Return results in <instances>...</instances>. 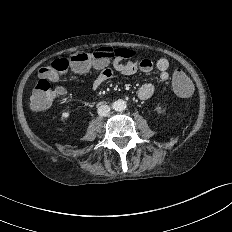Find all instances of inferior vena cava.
<instances>
[{
	"mask_svg": "<svg viewBox=\"0 0 232 232\" xmlns=\"http://www.w3.org/2000/svg\"><path fill=\"white\" fill-rule=\"evenodd\" d=\"M98 115L101 116V117H105L107 115H109L110 113V107L108 105H100L98 107Z\"/></svg>",
	"mask_w": 232,
	"mask_h": 232,
	"instance_id": "602c4592",
	"label": "inferior vena cava"
}]
</instances>
